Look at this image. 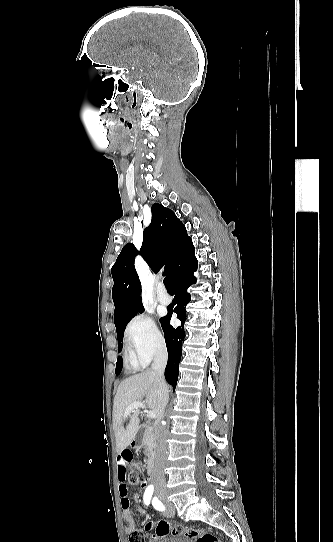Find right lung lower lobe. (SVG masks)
<instances>
[{"label":"right lung lower lobe","instance_id":"obj_1","mask_svg":"<svg viewBox=\"0 0 333 542\" xmlns=\"http://www.w3.org/2000/svg\"><path fill=\"white\" fill-rule=\"evenodd\" d=\"M197 259L195 257V249L191 243L177 254L171 273V280L175 289L176 295L172 304L168 307V314L161 318L162 328L165 334V342L168 350V363L165 368V378L167 382L176 387L179 362L182 355V342L184 340V322L186 318L185 306L190 301V295L187 293V288L195 283L196 278L193 272L197 270ZM176 313L177 318L182 322V325L173 328L170 325L172 314Z\"/></svg>","mask_w":333,"mask_h":542}]
</instances>
